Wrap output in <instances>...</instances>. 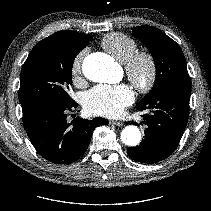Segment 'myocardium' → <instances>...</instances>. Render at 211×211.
Masks as SVG:
<instances>
[{"instance_id":"myocardium-1","label":"myocardium","mask_w":211,"mask_h":211,"mask_svg":"<svg viewBox=\"0 0 211 211\" xmlns=\"http://www.w3.org/2000/svg\"><path fill=\"white\" fill-rule=\"evenodd\" d=\"M128 79L142 93L155 86L158 77V64L153 53L147 50L135 52L124 63Z\"/></svg>"}]
</instances>
